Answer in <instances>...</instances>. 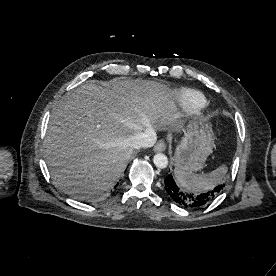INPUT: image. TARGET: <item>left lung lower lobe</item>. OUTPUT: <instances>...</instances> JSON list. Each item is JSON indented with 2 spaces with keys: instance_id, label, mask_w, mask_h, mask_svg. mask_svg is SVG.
Listing matches in <instances>:
<instances>
[{
  "instance_id": "obj_1",
  "label": "left lung lower lobe",
  "mask_w": 276,
  "mask_h": 276,
  "mask_svg": "<svg viewBox=\"0 0 276 276\" xmlns=\"http://www.w3.org/2000/svg\"><path fill=\"white\" fill-rule=\"evenodd\" d=\"M165 192L169 197L180 205L185 207L197 208L209 204L220 193L224 185H218L211 191L202 193H189L175 183L171 174L164 179L163 184Z\"/></svg>"
}]
</instances>
